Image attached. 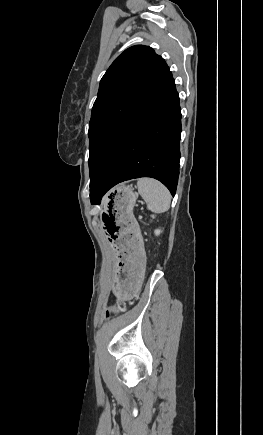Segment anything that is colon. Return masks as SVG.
Masks as SVG:
<instances>
[{
	"label": "colon",
	"mask_w": 263,
	"mask_h": 435,
	"mask_svg": "<svg viewBox=\"0 0 263 435\" xmlns=\"http://www.w3.org/2000/svg\"><path fill=\"white\" fill-rule=\"evenodd\" d=\"M119 311V307L118 306H109L106 310V315L109 316L110 314H116Z\"/></svg>",
	"instance_id": "colon-1"
}]
</instances>
